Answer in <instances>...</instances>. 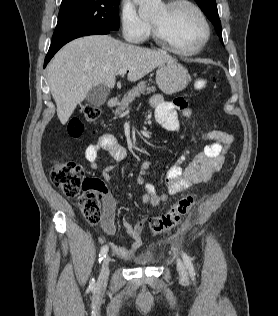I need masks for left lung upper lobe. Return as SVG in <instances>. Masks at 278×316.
<instances>
[{"instance_id": "5c2ea615", "label": "left lung upper lobe", "mask_w": 278, "mask_h": 316, "mask_svg": "<svg viewBox=\"0 0 278 316\" xmlns=\"http://www.w3.org/2000/svg\"><path fill=\"white\" fill-rule=\"evenodd\" d=\"M195 1L198 3L200 8L203 10V12L207 15L209 20L212 22L220 40L223 42L222 27H221V22L218 16L216 0H195Z\"/></svg>"}]
</instances>
